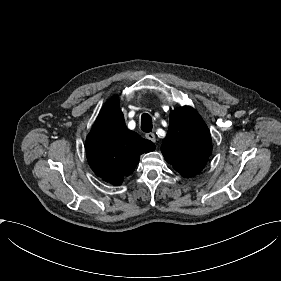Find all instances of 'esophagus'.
Segmentation results:
<instances>
[{
    "mask_svg": "<svg viewBox=\"0 0 281 281\" xmlns=\"http://www.w3.org/2000/svg\"><path fill=\"white\" fill-rule=\"evenodd\" d=\"M145 137L149 140H151L152 142H156V136L154 133H146Z\"/></svg>",
    "mask_w": 281,
    "mask_h": 281,
    "instance_id": "34e87169",
    "label": "esophagus"
}]
</instances>
